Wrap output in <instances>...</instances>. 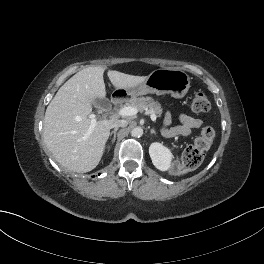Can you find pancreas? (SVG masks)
Listing matches in <instances>:
<instances>
[{
    "label": "pancreas",
    "instance_id": "obj_1",
    "mask_svg": "<svg viewBox=\"0 0 264 264\" xmlns=\"http://www.w3.org/2000/svg\"><path fill=\"white\" fill-rule=\"evenodd\" d=\"M126 105L136 107L138 111L149 110L158 116H161L163 111L161 104L152 97H133L126 101Z\"/></svg>",
    "mask_w": 264,
    "mask_h": 264
}]
</instances>
